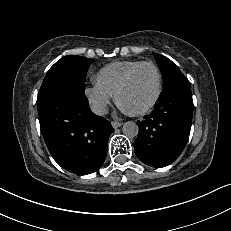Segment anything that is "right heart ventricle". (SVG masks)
<instances>
[{
	"label": "right heart ventricle",
	"instance_id": "e07e8e85",
	"mask_svg": "<svg viewBox=\"0 0 231 231\" xmlns=\"http://www.w3.org/2000/svg\"><path fill=\"white\" fill-rule=\"evenodd\" d=\"M141 62L138 60H124L109 63L97 72L95 82L103 90L114 95L128 72Z\"/></svg>",
	"mask_w": 231,
	"mask_h": 231
}]
</instances>
